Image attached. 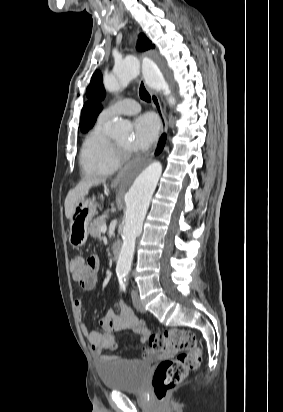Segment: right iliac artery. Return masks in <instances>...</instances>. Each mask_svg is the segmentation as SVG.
Masks as SVG:
<instances>
[{"instance_id": "82829eb1", "label": "right iliac artery", "mask_w": 283, "mask_h": 412, "mask_svg": "<svg viewBox=\"0 0 283 412\" xmlns=\"http://www.w3.org/2000/svg\"><path fill=\"white\" fill-rule=\"evenodd\" d=\"M123 277H124V275H121V274L118 275L120 287H121V289L125 292V291H126V286H125V284H124V282H123V280H122Z\"/></svg>"}]
</instances>
